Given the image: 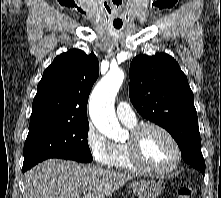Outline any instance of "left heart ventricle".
<instances>
[{"instance_id":"b2bd125f","label":"left heart ventricle","mask_w":221,"mask_h":198,"mask_svg":"<svg viewBox=\"0 0 221 198\" xmlns=\"http://www.w3.org/2000/svg\"><path fill=\"white\" fill-rule=\"evenodd\" d=\"M141 155L144 162L152 168L169 167L175 159V151L170 140L160 131L147 130L141 140Z\"/></svg>"}]
</instances>
